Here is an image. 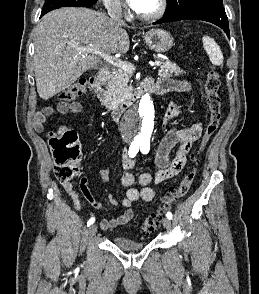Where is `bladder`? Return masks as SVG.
<instances>
[{"mask_svg": "<svg viewBox=\"0 0 259 294\" xmlns=\"http://www.w3.org/2000/svg\"><path fill=\"white\" fill-rule=\"evenodd\" d=\"M113 244L124 251H138L145 247V242L135 241L122 235H117L113 239Z\"/></svg>", "mask_w": 259, "mask_h": 294, "instance_id": "obj_1", "label": "bladder"}]
</instances>
